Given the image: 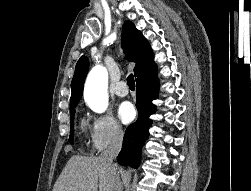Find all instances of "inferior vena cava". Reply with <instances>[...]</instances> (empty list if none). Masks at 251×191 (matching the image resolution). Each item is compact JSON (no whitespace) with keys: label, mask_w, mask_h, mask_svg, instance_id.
I'll use <instances>...</instances> for the list:
<instances>
[{"label":"inferior vena cava","mask_w":251,"mask_h":191,"mask_svg":"<svg viewBox=\"0 0 251 191\" xmlns=\"http://www.w3.org/2000/svg\"><path fill=\"white\" fill-rule=\"evenodd\" d=\"M122 139H123V131H121L118 125H115L112 131V139L110 141V145H108L107 149H105V151H103L101 155V159H103L105 163H108V165H112L113 159L117 157L122 147ZM113 179L119 187L117 191H122V185H120V179L118 173H113Z\"/></svg>","instance_id":"1"}]
</instances>
